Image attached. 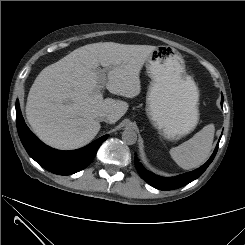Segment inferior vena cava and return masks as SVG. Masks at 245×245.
Segmentation results:
<instances>
[{"instance_id":"obj_1","label":"inferior vena cava","mask_w":245,"mask_h":245,"mask_svg":"<svg viewBox=\"0 0 245 245\" xmlns=\"http://www.w3.org/2000/svg\"><path fill=\"white\" fill-rule=\"evenodd\" d=\"M99 121H104V122H108L109 121V118L107 116H100L98 118Z\"/></svg>"}]
</instances>
